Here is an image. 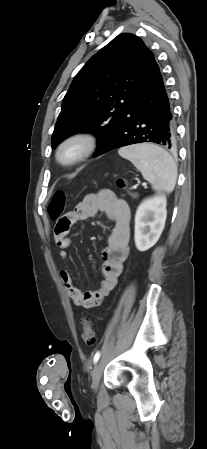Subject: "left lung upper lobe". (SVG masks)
Listing matches in <instances>:
<instances>
[{
    "label": "left lung upper lobe",
    "instance_id": "obj_1",
    "mask_svg": "<svg viewBox=\"0 0 207 449\" xmlns=\"http://www.w3.org/2000/svg\"><path fill=\"white\" fill-rule=\"evenodd\" d=\"M156 64L139 37L114 38L75 76L63 99L52 148L69 135L92 132L98 138V154L119 129Z\"/></svg>",
    "mask_w": 207,
    "mask_h": 449
}]
</instances>
